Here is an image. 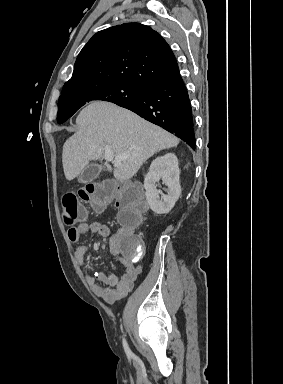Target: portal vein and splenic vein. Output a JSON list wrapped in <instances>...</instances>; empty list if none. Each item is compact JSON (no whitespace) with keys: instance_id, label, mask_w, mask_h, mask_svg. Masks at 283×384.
I'll return each instance as SVG.
<instances>
[{"instance_id":"18ae733b","label":"portal vein and splenic vein","mask_w":283,"mask_h":384,"mask_svg":"<svg viewBox=\"0 0 283 384\" xmlns=\"http://www.w3.org/2000/svg\"><path fill=\"white\" fill-rule=\"evenodd\" d=\"M104 158L107 162H113V164L118 166V164H121L122 160L126 158V154H118V156H116L113 150H105Z\"/></svg>"}]
</instances>
